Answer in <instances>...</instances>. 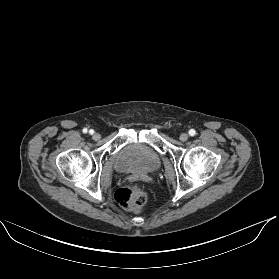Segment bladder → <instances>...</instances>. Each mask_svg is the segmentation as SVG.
<instances>
[{
  "label": "bladder",
  "instance_id": "31cf9c89",
  "mask_svg": "<svg viewBox=\"0 0 279 279\" xmlns=\"http://www.w3.org/2000/svg\"><path fill=\"white\" fill-rule=\"evenodd\" d=\"M114 165L122 174L145 178L159 170L161 160L153 147L143 142L131 141L115 153Z\"/></svg>",
  "mask_w": 279,
  "mask_h": 279
}]
</instances>
